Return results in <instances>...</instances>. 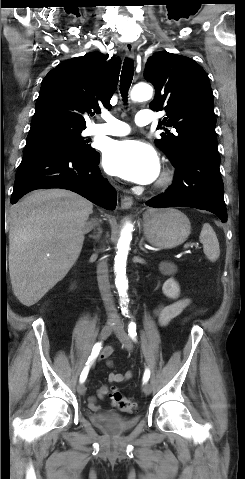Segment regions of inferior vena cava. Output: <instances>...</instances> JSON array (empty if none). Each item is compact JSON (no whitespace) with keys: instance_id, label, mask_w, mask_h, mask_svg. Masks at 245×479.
<instances>
[{"instance_id":"inferior-vena-cava-1","label":"inferior vena cava","mask_w":245,"mask_h":479,"mask_svg":"<svg viewBox=\"0 0 245 479\" xmlns=\"http://www.w3.org/2000/svg\"><path fill=\"white\" fill-rule=\"evenodd\" d=\"M91 224L92 223L89 222L88 226H91ZM97 280L101 297L108 315L114 318L117 317L116 308L110 291L108 266L106 261H101L97 265Z\"/></svg>"}]
</instances>
